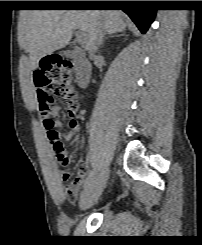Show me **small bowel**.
<instances>
[{
  "instance_id": "small-bowel-1",
  "label": "small bowel",
  "mask_w": 202,
  "mask_h": 245,
  "mask_svg": "<svg viewBox=\"0 0 202 245\" xmlns=\"http://www.w3.org/2000/svg\"><path fill=\"white\" fill-rule=\"evenodd\" d=\"M52 115L55 117V120L53 121L52 126L47 127L45 126V129L47 131V139L50 143V139L48 138V134L51 131L57 132L59 138H60V131L59 129L62 127V122L59 120V107L53 106L52 108ZM62 136L66 140H70L73 137L72 131H65L62 133ZM51 145V143H50ZM53 149V148H52ZM54 150L55 155V165L57 166L58 170V176L59 179L66 183L70 180L71 174L67 171H64L63 169L68 166L69 164V154L68 152L64 150ZM91 175L88 161L84 164V166L78 171V173L73 177L71 183L69 185H66L64 187V192L67 195L68 198L72 199L76 195L79 187L83 184V182Z\"/></svg>"
}]
</instances>
